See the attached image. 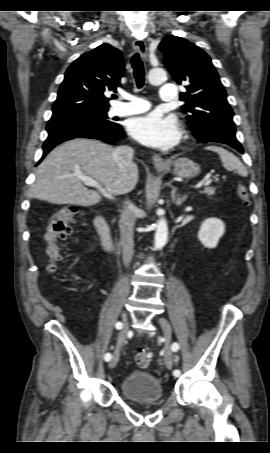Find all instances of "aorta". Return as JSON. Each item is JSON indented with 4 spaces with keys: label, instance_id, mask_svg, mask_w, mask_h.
Instances as JSON below:
<instances>
[{
    "label": "aorta",
    "instance_id": "aorta-1",
    "mask_svg": "<svg viewBox=\"0 0 270 453\" xmlns=\"http://www.w3.org/2000/svg\"><path fill=\"white\" fill-rule=\"evenodd\" d=\"M166 78V72L162 68H154L148 74L149 82L153 85L161 84ZM163 210H159L158 214H163ZM168 240V226L166 220L162 217L156 224L155 233V249L164 247Z\"/></svg>",
    "mask_w": 270,
    "mask_h": 453
}]
</instances>
